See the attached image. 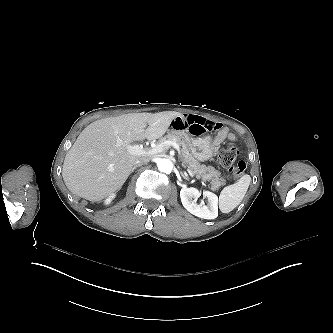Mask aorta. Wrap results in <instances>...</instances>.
<instances>
[{
	"instance_id": "aorta-1",
	"label": "aorta",
	"mask_w": 333,
	"mask_h": 333,
	"mask_svg": "<svg viewBox=\"0 0 333 333\" xmlns=\"http://www.w3.org/2000/svg\"><path fill=\"white\" fill-rule=\"evenodd\" d=\"M159 171L163 173H171L173 171L174 164L171 160L162 158L157 163Z\"/></svg>"
}]
</instances>
